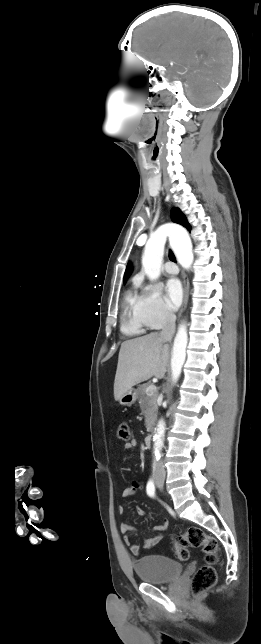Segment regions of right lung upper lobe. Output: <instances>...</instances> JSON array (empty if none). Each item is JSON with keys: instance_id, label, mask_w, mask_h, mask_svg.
I'll return each instance as SVG.
<instances>
[{"instance_id": "obj_1", "label": "right lung upper lobe", "mask_w": 261, "mask_h": 644, "mask_svg": "<svg viewBox=\"0 0 261 644\" xmlns=\"http://www.w3.org/2000/svg\"><path fill=\"white\" fill-rule=\"evenodd\" d=\"M171 219L173 222L184 226L189 231L191 230V226L189 225L185 215L178 208H173L171 210ZM131 271H132V267L130 264H128L124 274V281L128 279L129 275L131 274Z\"/></svg>"}]
</instances>
